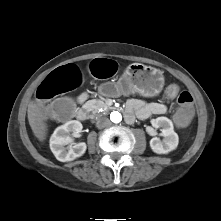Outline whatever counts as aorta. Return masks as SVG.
<instances>
[{"label":"aorta","mask_w":221,"mask_h":221,"mask_svg":"<svg viewBox=\"0 0 221 221\" xmlns=\"http://www.w3.org/2000/svg\"><path fill=\"white\" fill-rule=\"evenodd\" d=\"M110 119L113 123H119L122 121V115L118 111H113L110 114Z\"/></svg>","instance_id":"obj_1"}]
</instances>
